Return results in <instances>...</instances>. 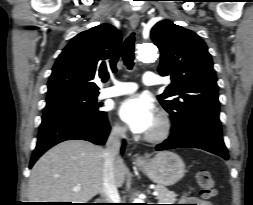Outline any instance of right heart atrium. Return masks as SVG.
Returning a JSON list of instances; mask_svg holds the SVG:
<instances>
[{
  "label": "right heart atrium",
  "instance_id": "1",
  "mask_svg": "<svg viewBox=\"0 0 253 205\" xmlns=\"http://www.w3.org/2000/svg\"><path fill=\"white\" fill-rule=\"evenodd\" d=\"M112 132L116 136H123L125 134V128L122 125L115 123L112 127Z\"/></svg>",
  "mask_w": 253,
  "mask_h": 205
}]
</instances>
